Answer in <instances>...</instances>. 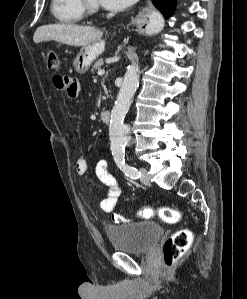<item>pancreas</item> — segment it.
<instances>
[{
    "instance_id": "cf45deb5",
    "label": "pancreas",
    "mask_w": 247,
    "mask_h": 299,
    "mask_svg": "<svg viewBox=\"0 0 247 299\" xmlns=\"http://www.w3.org/2000/svg\"><path fill=\"white\" fill-rule=\"evenodd\" d=\"M103 64H104V60H103L102 58L98 59V60L94 63V65H93L91 71L94 72L95 70H100L101 67L103 66Z\"/></svg>"
}]
</instances>
